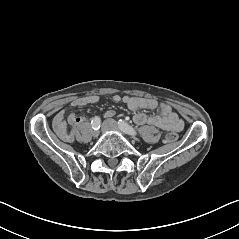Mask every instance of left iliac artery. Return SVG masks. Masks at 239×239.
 Listing matches in <instances>:
<instances>
[{
  "label": "left iliac artery",
  "mask_w": 239,
  "mask_h": 239,
  "mask_svg": "<svg viewBox=\"0 0 239 239\" xmlns=\"http://www.w3.org/2000/svg\"><path fill=\"white\" fill-rule=\"evenodd\" d=\"M118 124H119L120 129L123 132H125L126 134H129L132 136L137 135V131L132 126H130L128 123H126L125 121L119 120Z\"/></svg>",
  "instance_id": "44dca946"
}]
</instances>
